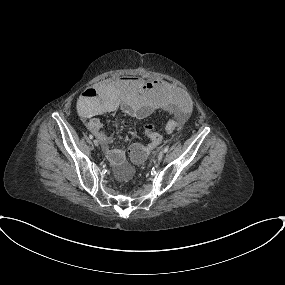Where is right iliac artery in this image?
Wrapping results in <instances>:
<instances>
[{"mask_svg":"<svg viewBox=\"0 0 285 285\" xmlns=\"http://www.w3.org/2000/svg\"><path fill=\"white\" fill-rule=\"evenodd\" d=\"M90 139H93V135H89Z\"/></svg>","mask_w":285,"mask_h":285,"instance_id":"obj_1","label":"right iliac artery"}]
</instances>
